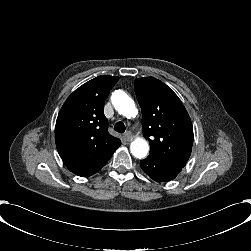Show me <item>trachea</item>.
I'll list each match as a JSON object with an SVG mask.
<instances>
[{"label": "trachea", "mask_w": 251, "mask_h": 251, "mask_svg": "<svg viewBox=\"0 0 251 251\" xmlns=\"http://www.w3.org/2000/svg\"><path fill=\"white\" fill-rule=\"evenodd\" d=\"M114 130L117 131L118 133H124L125 132V125L123 122H117L114 125Z\"/></svg>", "instance_id": "trachea-1"}]
</instances>
